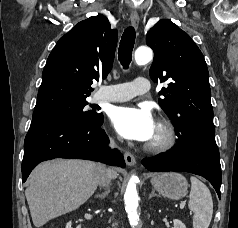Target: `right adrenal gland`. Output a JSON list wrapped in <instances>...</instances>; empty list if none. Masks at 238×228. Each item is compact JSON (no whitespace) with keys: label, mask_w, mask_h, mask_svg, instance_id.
Instances as JSON below:
<instances>
[{"label":"right adrenal gland","mask_w":238,"mask_h":228,"mask_svg":"<svg viewBox=\"0 0 238 228\" xmlns=\"http://www.w3.org/2000/svg\"><path fill=\"white\" fill-rule=\"evenodd\" d=\"M109 193V189H107L105 192L103 193H99V194H96L95 197L96 198H101V199H104Z\"/></svg>","instance_id":"right-adrenal-gland-1"}]
</instances>
